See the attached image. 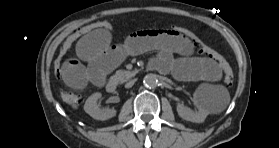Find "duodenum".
Returning a JSON list of instances; mask_svg holds the SVG:
<instances>
[{"mask_svg": "<svg viewBox=\"0 0 279 148\" xmlns=\"http://www.w3.org/2000/svg\"><path fill=\"white\" fill-rule=\"evenodd\" d=\"M118 88V81L117 79L113 78V79H110L107 83V90L109 92H115Z\"/></svg>", "mask_w": 279, "mask_h": 148, "instance_id": "1", "label": "duodenum"}]
</instances>
